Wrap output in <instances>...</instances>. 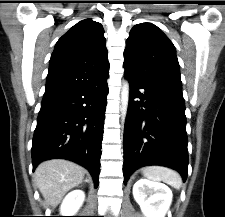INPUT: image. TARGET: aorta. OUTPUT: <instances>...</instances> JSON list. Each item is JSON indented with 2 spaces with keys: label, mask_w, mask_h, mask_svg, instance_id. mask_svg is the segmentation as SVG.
Listing matches in <instances>:
<instances>
[{
  "label": "aorta",
  "mask_w": 225,
  "mask_h": 217,
  "mask_svg": "<svg viewBox=\"0 0 225 217\" xmlns=\"http://www.w3.org/2000/svg\"><path fill=\"white\" fill-rule=\"evenodd\" d=\"M129 83L124 81L121 90V116L124 119L127 114L128 103H129Z\"/></svg>",
  "instance_id": "aorta-1"
}]
</instances>
